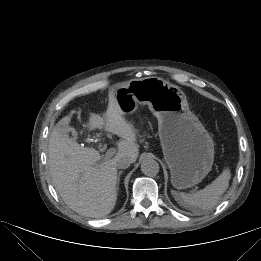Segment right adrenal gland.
Masks as SVG:
<instances>
[{"mask_svg": "<svg viewBox=\"0 0 261 261\" xmlns=\"http://www.w3.org/2000/svg\"><path fill=\"white\" fill-rule=\"evenodd\" d=\"M121 174H122V171H119V172H118V175H117V186H119Z\"/></svg>", "mask_w": 261, "mask_h": 261, "instance_id": "obj_1", "label": "right adrenal gland"}]
</instances>
